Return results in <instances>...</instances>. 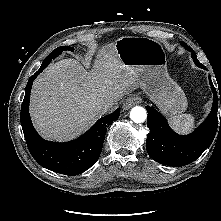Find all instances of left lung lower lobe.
<instances>
[{
	"label": "left lung lower lobe",
	"mask_w": 221,
	"mask_h": 221,
	"mask_svg": "<svg viewBox=\"0 0 221 221\" xmlns=\"http://www.w3.org/2000/svg\"><path fill=\"white\" fill-rule=\"evenodd\" d=\"M200 68H205L200 62ZM213 90V107L207 119L192 134L182 136L175 133L168 125L167 120L154 108L146 106L148 111L147 126L150 133L147 135L146 149L149 156L158 163L169 166H184L195 161L212 143L216 131L221 129L217 118L219 97L209 76Z\"/></svg>",
	"instance_id": "1"
}]
</instances>
